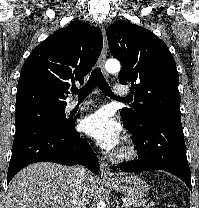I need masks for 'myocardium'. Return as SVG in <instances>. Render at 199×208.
<instances>
[{
    "mask_svg": "<svg viewBox=\"0 0 199 208\" xmlns=\"http://www.w3.org/2000/svg\"><path fill=\"white\" fill-rule=\"evenodd\" d=\"M137 156L136 146L131 141H125L118 150L114 151L111 158L114 161L125 162Z\"/></svg>",
    "mask_w": 199,
    "mask_h": 208,
    "instance_id": "obj_1",
    "label": "myocardium"
}]
</instances>
